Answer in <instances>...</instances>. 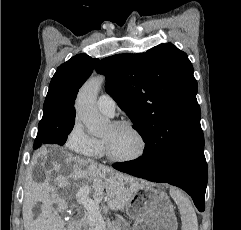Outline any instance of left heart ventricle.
Wrapping results in <instances>:
<instances>
[{
  "instance_id": "left-heart-ventricle-1",
  "label": "left heart ventricle",
  "mask_w": 241,
  "mask_h": 230,
  "mask_svg": "<svg viewBox=\"0 0 241 230\" xmlns=\"http://www.w3.org/2000/svg\"><path fill=\"white\" fill-rule=\"evenodd\" d=\"M103 140L107 141L112 153L120 158H128L137 154L140 142L135 133L127 127L111 125Z\"/></svg>"
}]
</instances>
